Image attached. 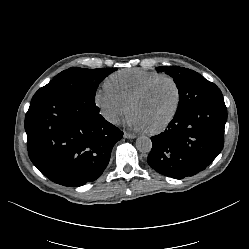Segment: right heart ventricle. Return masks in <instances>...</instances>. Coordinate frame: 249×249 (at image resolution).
<instances>
[{
	"mask_svg": "<svg viewBox=\"0 0 249 249\" xmlns=\"http://www.w3.org/2000/svg\"><path fill=\"white\" fill-rule=\"evenodd\" d=\"M159 75L162 74L157 71L139 68L123 69L110 74L104 84L112 93L128 102L140 87Z\"/></svg>",
	"mask_w": 249,
	"mask_h": 249,
	"instance_id": "1",
	"label": "right heart ventricle"
}]
</instances>
